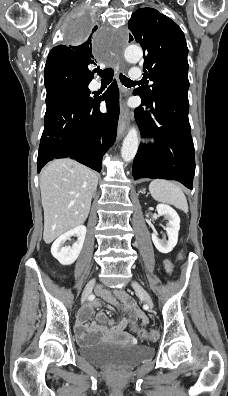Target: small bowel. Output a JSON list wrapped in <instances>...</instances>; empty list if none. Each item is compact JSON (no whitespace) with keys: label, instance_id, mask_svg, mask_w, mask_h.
<instances>
[{"label":"small bowel","instance_id":"obj_1","mask_svg":"<svg viewBox=\"0 0 228 396\" xmlns=\"http://www.w3.org/2000/svg\"><path fill=\"white\" fill-rule=\"evenodd\" d=\"M164 267L167 272L172 271L170 261L164 260ZM99 297L111 304L116 310H120L124 306L129 311V315L118 323L113 319L108 320V326H105L106 314L99 311L96 314V320L87 325L93 309L101 305L99 299L91 300L81 311L75 325V334L81 343H90L101 337L130 339L131 336L125 331L127 327L132 328L137 320H141L143 326L146 325L147 318L144 312L125 292L119 290L111 294L107 290H99Z\"/></svg>","mask_w":228,"mask_h":396}]
</instances>
